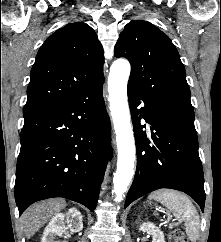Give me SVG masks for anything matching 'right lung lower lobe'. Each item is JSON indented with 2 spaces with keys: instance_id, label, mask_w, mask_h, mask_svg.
I'll list each match as a JSON object with an SVG mask.
<instances>
[{
  "instance_id": "98d812e1",
  "label": "right lung lower lobe",
  "mask_w": 221,
  "mask_h": 242,
  "mask_svg": "<svg viewBox=\"0 0 221 242\" xmlns=\"http://www.w3.org/2000/svg\"><path fill=\"white\" fill-rule=\"evenodd\" d=\"M103 83L101 78L64 103L24 114L14 190L19 215L52 197L95 209L112 157Z\"/></svg>"
}]
</instances>
